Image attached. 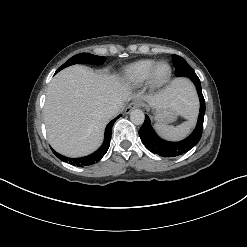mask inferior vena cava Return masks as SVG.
Returning <instances> with one entry per match:
<instances>
[{"label": "inferior vena cava", "mask_w": 247, "mask_h": 247, "mask_svg": "<svg viewBox=\"0 0 247 247\" xmlns=\"http://www.w3.org/2000/svg\"><path fill=\"white\" fill-rule=\"evenodd\" d=\"M120 110V105H112V106H109L104 114L106 117L108 118H112L114 115H116Z\"/></svg>", "instance_id": "602c4592"}]
</instances>
